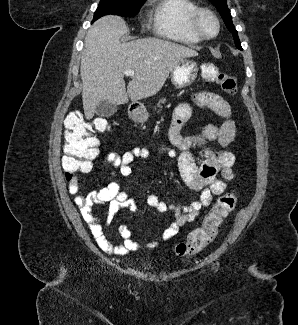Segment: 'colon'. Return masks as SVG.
Wrapping results in <instances>:
<instances>
[{"instance_id": "5ec220e1", "label": "colon", "mask_w": 298, "mask_h": 325, "mask_svg": "<svg viewBox=\"0 0 298 325\" xmlns=\"http://www.w3.org/2000/svg\"><path fill=\"white\" fill-rule=\"evenodd\" d=\"M202 78L214 83L230 95L237 92V79L222 71L216 64L205 62L201 65ZM109 122L104 118L87 120L81 113H70L65 119L62 167L68 182L86 172L91 160L98 154L96 133L107 131ZM237 196L234 192L222 195L205 215L202 225L191 231L185 242L176 247V254L190 257L201 252L217 236L223 221L235 209Z\"/></svg>"}]
</instances>
